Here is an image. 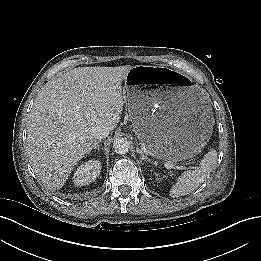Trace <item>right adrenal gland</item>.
I'll return each instance as SVG.
<instances>
[{
    "instance_id": "right-adrenal-gland-1",
    "label": "right adrenal gland",
    "mask_w": 261,
    "mask_h": 261,
    "mask_svg": "<svg viewBox=\"0 0 261 261\" xmlns=\"http://www.w3.org/2000/svg\"><path fill=\"white\" fill-rule=\"evenodd\" d=\"M99 143H101V140L94 141V143H93L91 149L89 150V153H90L93 149L99 150V149H100Z\"/></svg>"
}]
</instances>
